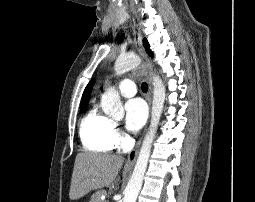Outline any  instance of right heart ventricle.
<instances>
[{"label": "right heart ventricle", "mask_w": 255, "mask_h": 202, "mask_svg": "<svg viewBox=\"0 0 255 202\" xmlns=\"http://www.w3.org/2000/svg\"><path fill=\"white\" fill-rule=\"evenodd\" d=\"M114 123L97 108L90 109L80 124L83 146L93 152H108L114 147Z\"/></svg>", "instance_id": "1"}]
</instances>
